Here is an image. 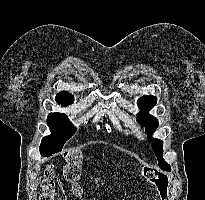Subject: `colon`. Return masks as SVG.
I'll list each match as a JSON object with an SVG mask.
<instances>
[{
	"instance_id": "5ec220e1",
	"label": "colon",
	"mask_w": 205,
	"mask_h": 200,
	"mask_svg": "<svg viewBox=\"0 0 205 200\" xmlns=\"http://www.w3.org/2000/svg\"><path fill=\"white\" fill-rule=\"evenodd\" d=\"M81 164L82 153L80 150L70 149L64 153L63 177L68 183L72 184V192L75 198H80L82 195V190L78 185L81 175ZM141 174L144 181L155 186L162 199L167 200L168 178L160 171L149 167H144ZM40 187V200H55L56 170L54 165H48L43 170Z\"/></svg>"
}]
</instances>
